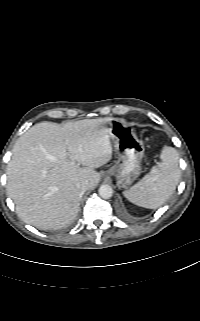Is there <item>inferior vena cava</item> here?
Here are the masks:
<instances>
[{
  "label": "inferior vena cava",
  "mask_w": 200,
  "mask_h": 321,
  "mask_svg": "<svg viewBox=\"0 0 200 321\" xmlns=\"http://www.w3.org/2000/svg\"><path fill=\"white\" fill-rule=\"evenodd\" d=\"M76 187L81 191L85 192L88 190V181L87 180H81L76 184Z\"/></svg>",
  "instance_id": "obj_1"
}]
</instances>
